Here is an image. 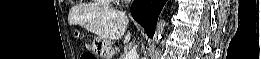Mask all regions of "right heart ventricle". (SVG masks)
<instances>
[{
  "mask_svg": "<svg viewBox=\"0 0 261 59\" xmlns=\"http://www.w3.org/2000/svg\"><path fill=\"white\" fill-rule=\"evenodd\" d=\"M100 2L103 3V4H109L113 1L112 0H100Z\"/></svg>",
  "mask_w": 261,
  "mask_h": 59,
  "instance_id": "e07e8e85",
  "label": "right heart ventricle"
}]
</instances>
